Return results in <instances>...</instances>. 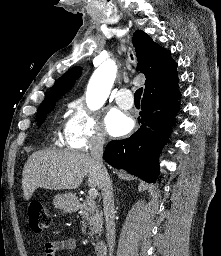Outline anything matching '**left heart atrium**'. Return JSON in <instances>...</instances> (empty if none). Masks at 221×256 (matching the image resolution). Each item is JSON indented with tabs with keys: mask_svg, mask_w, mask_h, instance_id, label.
Wrapping results in <instances>:
<instances>
[{
	"mask_svg": "<svg viewBox=\"0 0 221 256\" xmlns=\"http://www.w3.org/2000/svg\"><path fill=\"white\" fill-rule=\"evenodd\" d=\"M105 128L111 136H121L130 131L132 120L118 109H111L105 116Z\"/></svg>",
	"mask_w": 221,
	"mask_h": 256,
	"instance_id": "39dd6f15",
	"label": "left heart atrium"
}]
</instances>
